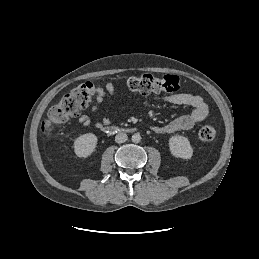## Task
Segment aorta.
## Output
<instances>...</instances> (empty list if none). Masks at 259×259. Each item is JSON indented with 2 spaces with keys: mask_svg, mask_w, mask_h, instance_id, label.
I'll return each instance as SVG.
<instances>
[{
  "mask_svg": "<svg viewBox=\"0 0 259 259\" xmlns=\"http://www.w3.org/2000/svg\"><path fill=\"white\" fill-rule=\"evenodd\" d=\"M132 141L134 143H139L141 141V135L139 133H135L132 135Z\"/></svg>",
  "mask_w": 259,
  "mask_h": 259,
  "instance_id": "1",
  "label": "aorta"
}]
</instances>
